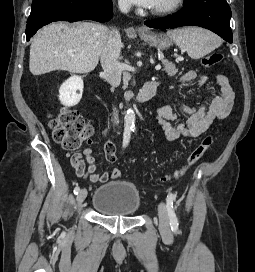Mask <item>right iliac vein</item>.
Listing matches in <instances>:
<instances>
[{
  "label": "right iliac vein",
  "mask_w": 255,
  "mask_h": 272,
  "mask_svg": "<svg viewBox=\"0 0 255 272\" xmlns=\"http://www.w3.org/2000/svg\"><path fill=\"white\" fill-rule=\"evenodd\" d=\"M87 197V190L81 189L77 195L76 201L78 205H81Z\"/></svg>",
  "instance_id": "1"
}]
</instances>
